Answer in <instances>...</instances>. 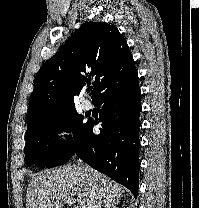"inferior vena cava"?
<instances>
[{
    "mask_svg": "<svg viewBox=\"0 0 199 208\" xmlns=\"http://www.w3.org/2000/svg\"><path fill=\"white\" fill-rule=\"evenodd\" d=\"M80 166L85 170L87 169V166L85 164H81V161H80ZM101 201H102L101 197L98 195L95 188H93L89 195L87 208H101Z\"/></svg>",
    "mask_w": 199,
    "mask_h": 208,
    "instance_id": "inferior-vena-cava-1",
    "label": "inferior vena cava"
}]
</instances>
